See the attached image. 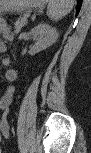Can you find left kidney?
Instances as JSON below:
<instances>
[{
  "instance_id": "obj_1",
  "label": "left kidney",
  "mask_w": 91,
  "mask_h": 153,
  "mask_svg": "<svg viewBox=\"0 0 91 153\" xmlns=\"http://www.w3.org/2000/svg\"><path fill=\"white\" fill-rule=\"evenodd\" d=\"M32 34L36 40L35 45L30 49L29 54L36 53L50 47L58 37V33L54 27L43 23L32 29Z\"/></svg>"
}]
</instances>
